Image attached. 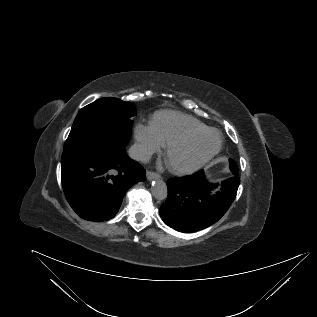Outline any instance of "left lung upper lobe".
I'll use <instances>...</instances> for the list:
<instances>
[{
    "mask_svg": "<svg viewBox=\"0 0 317 317\" xmlns=\"http://www.w3.org/2000/svg\"><path fill=\"white\" fill-rule=\"evenodd\" d=\"M231 169L238 170L236 163L230 159Z\"/></svg>",
    "mask_w": 317,
    "mask_h": 317,
    "instance_id": "left-lung-upper-lobe-1",
    "label": "left lung upper lobe"
}]
</instances>
